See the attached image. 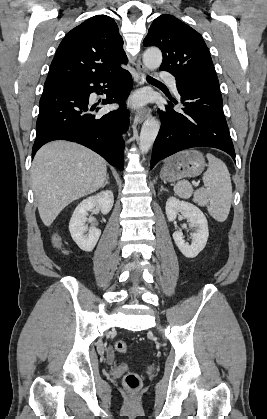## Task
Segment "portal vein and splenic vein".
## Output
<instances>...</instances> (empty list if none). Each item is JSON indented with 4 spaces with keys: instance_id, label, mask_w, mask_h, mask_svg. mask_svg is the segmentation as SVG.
Returning <instances> with one entry per match:
<instances>
[{
    "instance_id": "portal-vein-and-splenic-vein-1",
    "label": "portal vein and splenic vein",
    "mask_w": 267,
    "mask_h": 419,
    "mask_svg": "<svg viewBox=\"0 0 267 419\" xmlns=\"http://www.w3.org/2000/svg\"><path fill=\"white\" fill-rule=\"evenodd\" d=\"M194 185L197 187L199 185V183L198 182H195Z\"/></svg>"
}]
</instances>
